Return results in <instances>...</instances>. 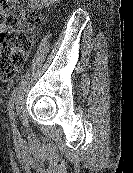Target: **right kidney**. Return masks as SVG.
Returning a JSON list of instances; mask_svg holds the SVG:
<instances>
[{
  "mask_svg": "<svg viewBox=\"0 0 133 173\" xmlns=\"http://www.w3.org/2000/svg\"><path fill=\"white\" fill-rule=\"evenodd\" d=\"M30 1L33 2L37 7H42V6L51 5L60 0H30Z\"/></svg>",
  "mask_w": 133,
  "mask_h": 173,
  "instance_id": "obj_1",
  "label": "right kidney"
}]
</instances>
